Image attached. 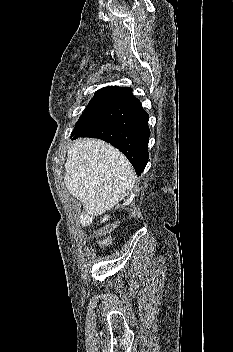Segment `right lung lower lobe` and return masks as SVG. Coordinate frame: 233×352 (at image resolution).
<instances>
[{"mask_svg":"<svg viewBox=\"0 0 233 352\" xmlns=\"http://www.w3.org/2000/svg\"><path fill=\"white\" fill-rule=\"evenodd\" d=\"M148 118L140 101L132 96L71 133L70 138L91 137L110 143L124 153L136 173L141 175L149 158Z\"/></svg>","mask_w":233,"mask_h":352,"instance_id":"1","label":"right lung lower lobe"}]
</instances>
